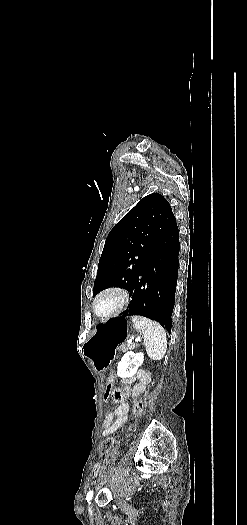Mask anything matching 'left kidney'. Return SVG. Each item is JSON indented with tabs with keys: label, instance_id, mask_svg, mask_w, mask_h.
<instances>
[{
	"label": "left kidney",
	"instance_id": "obj_1",
	"mask_svg": "<svg viewBox=\"0 0 247 525\" xmlns=\"http://www.w3.org/2000/svg\"><path fill=\"white\" fill-rule=\"evenodd\" d=\"M144 361L143 353H132L128 351L123 355L120 363H118V375H126V377H133L138 367H141Z\"/></svg>",
	"mask_w": 247,
	"mask_h": 525
}]
</instances>
